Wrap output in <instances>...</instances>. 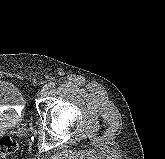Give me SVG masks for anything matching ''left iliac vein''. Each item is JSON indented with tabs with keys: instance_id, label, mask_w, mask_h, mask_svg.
Segmentation results:
<instances>
[{
	"instance_id": "obj_1",
	"label": "left iliac vein",
	"mask_w": 165,
	"mask_h": 159,
	"mask_svg": "<svg viewBox=\"0 0 165 159\" xmlns=\"http://www.w3.org/2000/svg\"><path fill=\"white\" fill-rule=\"evenodd\" d=\"M49 87L44 85L40 91V97L44 98L48 94Z\"/></svg>"
}]
</instances>
